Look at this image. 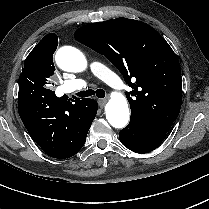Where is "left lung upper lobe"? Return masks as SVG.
<instances>
[{
	"label": "left lung upper lobe",
	"mask_w": 209,
	"mask_h": 209,
	"mask_svg": "<svg viewBox=\"0 0 209 209\" xmlns=\"http://www.w3.org/2000/svg\"><path fill=\"white\" fill-rule=\"evenodd\" d=\"M75 39L104 55L133 89L131 117L167 133L182 102L180 64L165 39L141 21L117 18L85 25Z\"/></svg>",
	"instance_id": "obj_1"
}]
</instances>
